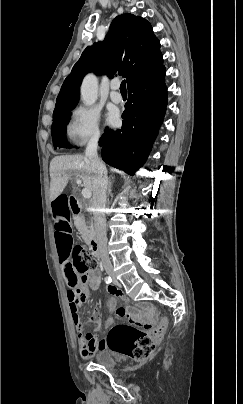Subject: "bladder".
I'll list each match as a JSON object with an SVG mask.
<instances>
[{
    "label": "bladder",
    "instance_id": "bladder-1",
    "mask_svg": "<svg viewBox=\"0 0 243 404\" xmlns=\"http://www.w3.org/2000/svg\"><path fill=\"white\" fill-rule=\"evenodd\" d=\"M94 361L99 366H102V367L108 368V369L114 368L117 364L112 352L109 350H106V349H102V350L98 351L94 356Z\"/></svg>",
    "mask_w": 243,
    "mask_h": 404
}]
</instances>
